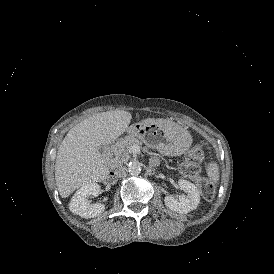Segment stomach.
Returning <instances> with one entry per match:
<instances>
[{
  "label": "stomach",
  "mask_w": 274,
  "mask_h": 274,
  "mask_svg": "<svg viewBox=\"0 0 274 274\" xmlns=\"http://www.w3.org/2000/svg\"><path fill=\"white\" fill-rule=\"evenodd\" d=\"M178 124L170 119L147 118L127 128L130 136L139 138L152 149L166 156H179L191 145L188 132L177 135L173 132Z\"/></svg>",
  "instance_id": "1"
}]
</instances>
